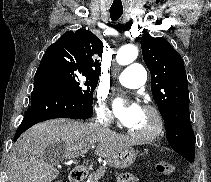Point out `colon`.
Wrapping results in <instances>:
<instances>
[{
	"label": "colon",
	"mask_w": 211,
	"mask_h": 182,
	"mask_svg": "<svg viewBox=\"0 0 211 182\" xmlns=\"http://www.w3.org/2000/svg\"><path fill=\"white\" fill-rule=\"evenodd\" d=\"M156 171L162 175H171L175 172V166L168 162H158L155 166ZM55 182H66L65 180H57Z\"/></svg>",
	"instance_id": "1"
}]
</instances>
